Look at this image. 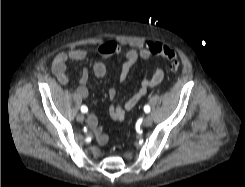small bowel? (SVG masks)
I'll return each mask as SVG.
<instances>
[{"label":"small bowel","instance_id":"small-bowel-1","mask_svg":"<svg viewBox=\"0 0 245 187\" xmlns=\"http://www.w3.org/2000/svg\"><path fill=\"white\" fill-rule=\"evenodd\" d=\"M153 45H162L159 42H150L145 48L141 49H129L124 54V62L121 66L119 74V81L125 82L128 78L129 72L132 66L139 60H144L152 57L154 54L151 53L150 47ZM96 53L99 60L92 64V72L97 78H104L107 74V69L103 60L110 58L111 56L118 55L121 53V47L113 40H107L101 43ZM88 52L84 49H70L68 51H61L55 55L52 61V72L55 75L58 82L62 85H66L71 81V76L67 71L68 61H83L87 58ZM90 78L88 69H84L78 86L74 89L75 95L80 99L88 97L87 83ZM164 79V71L158 68L154 73L142 80L138 89L125 101L112 105L109 109L110 117L116 122H122L125 117V112L133 109L140 99L150 90L151 88L158 86ZM110 99H114L116 96V90L110 88L108 91ZM88 125L94 131L96 141L103 145L108 141V136L103 133L102 127L99 124V120L95 115H91L88 118Z\"/></svg>","mask_w":245,"mask_h":187}]
</instances>
